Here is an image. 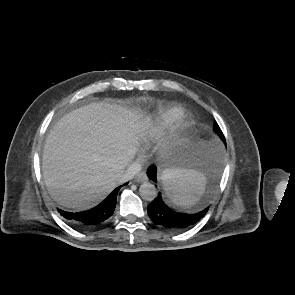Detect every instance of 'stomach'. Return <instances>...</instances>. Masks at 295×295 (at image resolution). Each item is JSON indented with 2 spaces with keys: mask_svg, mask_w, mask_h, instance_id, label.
Wrapping results in <instances>:
<instances>
[{
  "mask_svg": "<svg viewBox=\"0 0 295 295\" xmlns=\"http://www.w3.org/2000/svg\"><path fill=\"white\" fill-rule=\"evenodd\" d=\"M205 152L206 149L201 142H191L166 164V170L174 169L204 173L207 167Z\"/></svg>",
  "mask_w": 295,
  "mask_h": 295,
  "instance_id": "1",
  "label": "stomach"
}]
</instances>
